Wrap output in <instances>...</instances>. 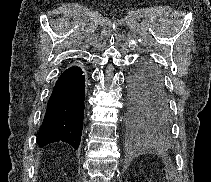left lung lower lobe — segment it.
Returning a JSON list of instances; mask_svg holds the SVG:
<instances>
[{"label":"left lung lower lobe","mask_w":211,"mask_h":182,"mask_svg":"<svg viewBox=\"0 0 211 182\" xmlns=\"http://www.w3.org/2000/svg\"><path fill=\"white\" fill-rule=\"evenodd\" d=\"M132 116L156 135L170 130L171 115L162 74L150 60H141L129 77Z\"/></svg>","instance_id":"obj_1"}]
</instances>
